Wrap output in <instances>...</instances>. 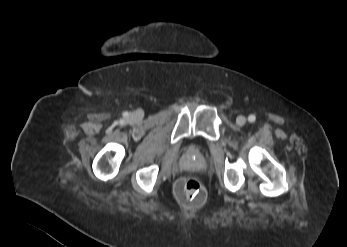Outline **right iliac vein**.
<instances>
[{
    "instance_id": "obj_1",
    "label": "right iliac vein",
    "mask_w": 347,
    "mask_h": 247,
    "mask_svg": "<svg viewBox=\"0 0 347 247\" xmlns=\"http://www.w3.org/2000/svg\"><path fill=\"white\" fill-rule=\"evenodd\" d=\"M139 115V113H136V116H138Z\"/></svg>"
}]
</instances>
